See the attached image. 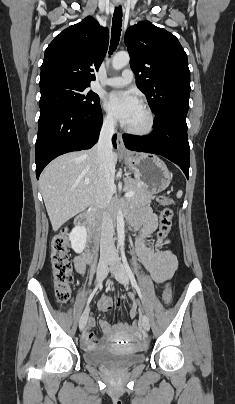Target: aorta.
Masks as SVG:
<instances>
[{
    "label": "aorta",
    "mask_w": 235,
    "mask_h": 404,
    "mask_svg": "<svg viewBox=\"0 0 235 404\" xmlns=\"http://www.w3.org/2000/svg\"><path fill=\"white\" fill-rule=\"evenodd\" d=\"M130 61L129 54L125 51H120L116 53L112 59V67L115 70H120L125 67ZM117 233H118V243L122 245L125 239L124 230V219L122 210L119 209L117 213Z\"/></svg>",
    "instance_id": "762f6f07"
}]
</instances>
